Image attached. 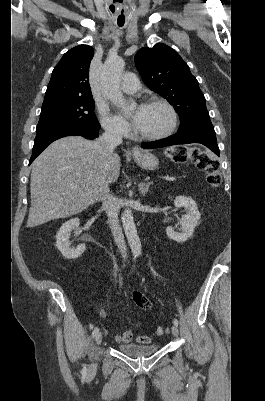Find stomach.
Returning a JSON list of instances; mask_svg holds the SVG:
<instances>
[{"label": "stomach", "instance_id": "0dacf381", "mask_svg": "<svg viewBox=\"0 0 265 401\" xmlns=\"http://www.w3.org/2000/svg\"><path fill=\"white\" fill-rule=\"evenodd\" d=\"M133 158L145 170H155L159 164V158L155 154H151L148 150H141V148L138 152H133Z\"/></svg>", "mask_w": 265, "mask_h": 401}]
</instances>
